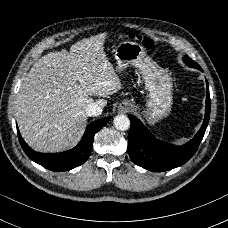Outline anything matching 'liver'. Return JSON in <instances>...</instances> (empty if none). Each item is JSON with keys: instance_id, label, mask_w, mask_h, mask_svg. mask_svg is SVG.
Returning <instances> with one entry per match:
<instances>
[{"instance_id": "6515ba94", "label": "liver", "mask_w": 228, "mask_h": 228, "mask_svg": "<svg viewBox=\"0 0 228 228\" xmlns=\"http://www.w3.org/2000/svg\"><path fill=\"white\" fill-rule=\"evenodd\" d=\"M106 34L82 39L70 52L41 57L20 85L15 117L22 137L40 152L74 147L84 133L87 105L92 95L106 97L121 89V82L104 52ZM96 103L105 107L106 100Z\"/></svg>"}]
</instances>
